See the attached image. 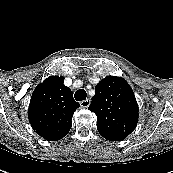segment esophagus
I'll list each match as a JSON object with an SVG mask.
<instances>
[{
	"mask_svg": "<svg viewBox=\"0 0 173 173\" xmlns=\"http://www.w3.org/2000/svg\"><path fill=\"white\" fill-rule=\"evenodd\" d=\"M90 103H91L90 99H86V100L81 101L80 105L82 108H88Z\"/></svg>",
	"mask_w": 173,
	"mask_h": 173,
	"instance_id": "34e87169",
	"label": "esophagus"
}]
</instances>
